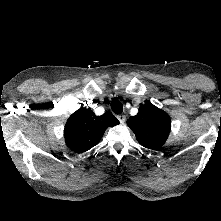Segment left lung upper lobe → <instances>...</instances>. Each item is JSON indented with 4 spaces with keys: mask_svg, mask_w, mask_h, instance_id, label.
<instances>
[{
    "mask_svg": "<svg viewBox=\"0 0 221 221\" xmlns=\"http://www.w3.org/2000/svg\"><path fill=\"white\" fill-rule=\"evenodd\" d=\"M127 123L138 142L152 150H158L165 143L171 129L169 115L150 103L141 105L138 114Z\"/></svg>",
    "mask_w": 221,
    "mask_h": 221,
    "instance_id": "1",
    "label": "left lung upper lobe"
}]
</instances>
